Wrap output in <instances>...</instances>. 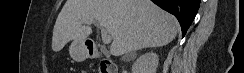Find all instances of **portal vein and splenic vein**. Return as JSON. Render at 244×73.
I'll return each mask as SVG.
<instances>
[{
  "label": "portal vein and splenic vein",
  "instance_id": "18ae733b",
  "mask_svg": "<svg viewBox=\"0 0 244 73\" xmlns=\"http://www.w3.org/2000/svg\"><path fill=\"white\" fill-rule=\"evenodd\" d=\"M94 21L93 20H85L84 23L87 25L92 24ZM101 36H102V41L104 44H109L111 43L112 37L108 35V32L105 28L101 27Z\"/></svg>",
  "mask_w": 244,
  "mask_h": 73
}]
</instances>
